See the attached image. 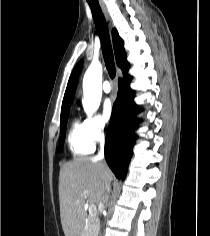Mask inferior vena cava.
<instances>
[{"mask_svg": "<svg viewBox=\"0 0 210 236\" xmlns=\"http://www.w3.org/2000/svg\"><path fill=\"white\" fill-rule=\"evenodd\" d=\"M103 157H104V142H103V138L100 142V151L98 152V158L99 160H103ZM105 191L107 193L110 192V183L109 182H106L105 183ZM105 200L108 199V195L106 194L105 197H104Z\"/></svg>", "mask_w": 210, "mask_h": 236, "instance_id": "602c4592", "label": "inferior vena cava"}]
</instances>
